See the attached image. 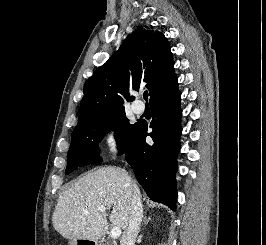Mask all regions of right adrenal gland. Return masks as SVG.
<instances>
[{
  "instance_id": "2a0ac1e0",
  "label": "right adrenal gland",
  "mask_w": 266,
  "mask_h": 245,
  "mask_svg": "<svg viewBox=\"0 0 266 245\" xmlns=\"http://www.w3.org/2000/svg\"><path fill=\"white\" fill-rule=\"evenodd\" d=\"M148 221H150V219H146V217H144V223H148Z\"/></svg>"
}]
</instances>
